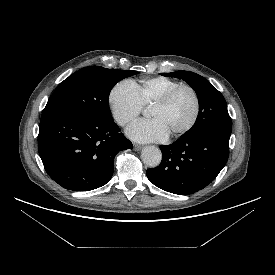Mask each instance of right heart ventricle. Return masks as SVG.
I'll use <instances>...</instances> for the list:
<instances>
[{"label":"right heart ventricle","instance_id":"obj_1","mask_svg":"<svg viewBox=\"0 0 275 275\" xmlns=\"http://www.w3.org/2000/svg\"><path fill=\"white\" fill-rule=\"evenodd\" d=\"M178 85H180V83L174 79L157 76L141 79L138 83H136V89L140 101L144 107L152 106L169 90Z\"/></svg>","mask_w":275,"mask_h":275}]
</instances>
